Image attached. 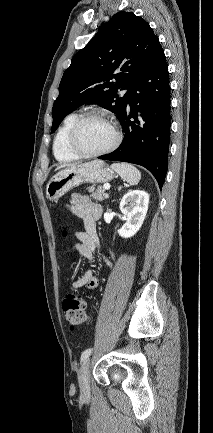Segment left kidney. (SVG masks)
Listing matches in <instances>:
<instances>
[{
    "label": "left kidney",
    "instance_id": "5707ae66",
    "mask_svg": "<svg viewBox=\"0 0 213 433\" xmlns=\"http://www.w3.org/2000/svg\"><path fill=\"white\" fill-rule=\"evenodd\" d=\"M149 205V194L142 190H132L125 194L120 202V210L126 217V223L118 230L123 238L134 236L141 228Z\"/></svg>",
    "mask_w": 213,
    "mask_h": 433
}]
</instances>
